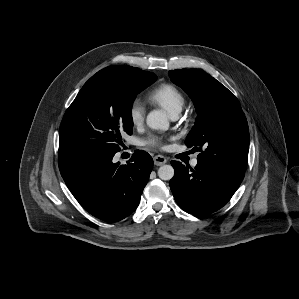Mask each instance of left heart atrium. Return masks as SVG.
<instances>
[{
	"label": "left heart atrium",
	"instance_id": "1",
	"mask_svg": "<svg viewBox=\"0 0 299 299\" xmlns=\"http://www.w3.org/2000/svg\"><path fill=\"white\" fill-rule=\"evenodd\" d=\"M142 143L144 145H148L151 147H162L163 146V141H162L161 137L156 136V135H151V136L147 137L146 139H144L142 141Z\"/></svg>",
	"mask_w": 299,
	"mask_h": 299
}]
</instances>
